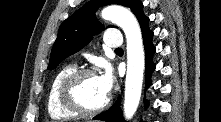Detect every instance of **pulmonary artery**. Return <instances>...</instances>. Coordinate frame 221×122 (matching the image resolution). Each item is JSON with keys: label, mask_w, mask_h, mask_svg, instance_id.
<instances>
[{"label": "pulmonary artery", "mask_w": 221, "mask_h": 122, "mask_svg": "<svg viewBox=\"0 0 221 122\" xmlns=\"http://www.w3.org/2000/svg\"><path fill=\"white\" fill-rule=\"evenodd\" d=\"M105 44L110 48H120L122 46V37L118 31H109L104 37Z\"/></svg>", "instance_id": "e3ab8cb5"}]
</instances>
